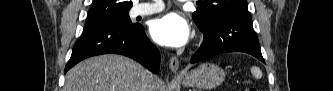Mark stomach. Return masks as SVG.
Instances as JSON below:
<instances>
[{
  "label": "stomach",
  "mask_w": 333,
  "mask_h": 91,
  "mask_svg": "<svg viewBox=\"0 0 333 91\" xmlns=\"http://www.w3.org/2000/svg\"><path fill=\"white\" fill-rule=\"evenodd\" d=\"M225 79L224 70L211 63H204L185 74L182 84L186 87H195L211 90L219 86Z\"/></svg>",
  "instance_id": "0dacf381"
}]
</instances>
